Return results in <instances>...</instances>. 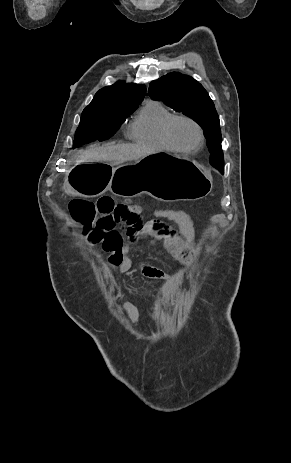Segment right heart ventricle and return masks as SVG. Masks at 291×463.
Returning <instances> with one entry per match:
<instances>
[{
    "mask_svg": "<svg viewBox=\"0 0 291 463\" xmlns=\"http://www.w3.org/2000/svg\"><path fill=\"white\" fill-rule=\"evenodd\" d=\"M174 113L158 101L149 100L132 120L128 136L131 141L157 150H173L165 141L163 128Z\"/></svg>",
    "mask_w": 291,
    "mask_h": 463,
    "instance_id": "right-heart-ventricle-1",
    "label": "right heart ventricle"
}]
</instances>
